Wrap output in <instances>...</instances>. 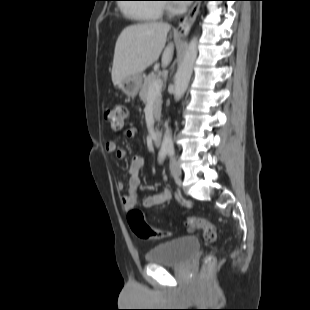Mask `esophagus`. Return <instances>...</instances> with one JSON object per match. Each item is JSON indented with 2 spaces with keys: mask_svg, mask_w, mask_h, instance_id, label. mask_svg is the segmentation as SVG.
<instances>
[{
  "mask_svg": "<svg viewBox=\"0 0 310 310\" xmlns=\"http://www.w3.org/2000/svg\"><path fill=\"white\" fill-rule=\"evenodd\" d=\"M200 8V3H195L192 8L189 10V12L186 14L185 18L183 21L177 26L175 29V33L180 35V36H185L191 26L193 25L197 14L199 12Z\"/></svg>",
  "mask_w": 310,
  "mask_h": 310,
  "instance_id": "34e87169",
  "label": "esophagus"
}]
</instances>
